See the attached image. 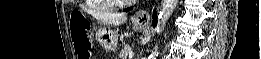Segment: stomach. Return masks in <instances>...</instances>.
Wrapping results in <instances>:
<instances>
[{
  "label": "stomach",
  "instance_id": "stomach-1",
  "mask_svg": "<svg viewBox=\"0 0 261 59\" xmlns=\"http://www.w3.org/2000/svg\"><path fill=\"white\" fill-rule=\"evenodd\" d=\"M144 28L142 24L133 23V29L141 31ZM96 38L103 49L107 52H113L117 49L118 37L117 32L110 27H102L96 32Z\"/></svg>",
  "mask_w": 261,
  "mask_h": 59
}]
</instances>
